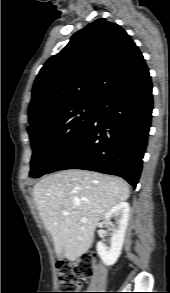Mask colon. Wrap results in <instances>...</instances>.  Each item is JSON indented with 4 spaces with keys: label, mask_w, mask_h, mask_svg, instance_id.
Returning a JSON list of instances; mask_svg holds the SVG:
<instances>
[{
    "label": "colon",
    "mask_w": 170,
    "mask_h": 293,
    "mask_svg": "<svg viewBox=\"0 0 170 293\" xmlns=\"http://www.w3.org/2000/svg\"><path fill=\"white\" fill-rule=\"evenodd\" d=\"M94 259V254L86 253L75 262L59 264L58 279L62 291L59 293H81L74 292L78 289V280L91 277Z\"/></svg>",
    "instance_id": "obj_1"
}]
</instances>
